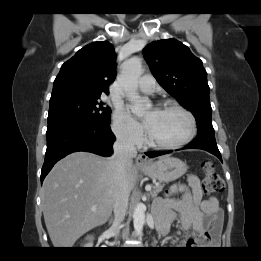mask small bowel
Here are the masks:
<instances>
[{"mask_svg": "<svg viewBox=\"0 0 261 261\" xmlns=\"http://www.w3.org/2000/svg\"><path fill=\"white\" fill-rule=\"evenodd\" d=\"M190 191L184 185L172 187L173 193L182 197L164 198L160 201L158 226L162 231H168L174 220L175 213L180 214V223L188 236L207 234L217 243L222 230V213L215 197L204 199L199 179L188 177Z\"/></svg>", "mask_w": 261, "mask_h": 261, "instance_id": "c3829d8e", "label": "small bowel"}]
</instances>
